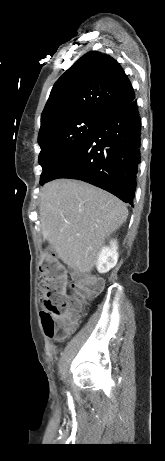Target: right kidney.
I'll return each mask as SVG.
<instances>
[{"label":"right kidney","instance_id":"right-kidney-1","mask_svg":"<svg viewBox=\"0 0 165 461\" xmlns=\"http://www.w3.org/2000/svg\"><path fill=\"white\" fill-rule=\"evenodd\" d=\"M118 246L116 240H111L110 246L103 247L97 258V270L99 273H107L113 268L118 260Z\"/></svg>","mask_w":165,"mask_h":461}]
</instances>
